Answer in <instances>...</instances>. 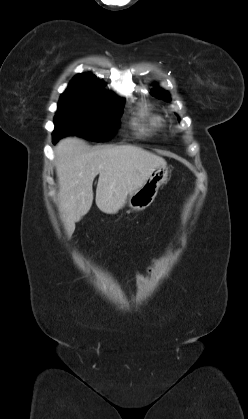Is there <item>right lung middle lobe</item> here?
I'll use <instances>...</instances> for the list:
<instances>
[{
    "mask_svg": "<svg viewBox=\"0 0 248 419\" xmlns=\"http://www.w3.org/2000/svg\"><path fill=\"white\" fill-rule=\"evenodd\" d=\"M123 105V99L104 101L62 94L54 118L53 141L73 134L107 141L116 131Z\"/></svg>",
    "mask_w": 248,
    "mask_h": 419,
    "instance_id": "1",
    "label": "right lung middle lobe"
}]
</instances>
